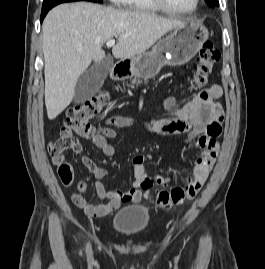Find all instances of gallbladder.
I'll use <instances>...</instances> for the list:
<instances>
[{
	"label": "gallbladder",
	"instance_id": "gallbladder-1",
	"mask_svg": "<svg viewBox=\"0 0 265 269\" xmlns=\"http://www.w3.org/2000/svg\"><path fill=\"white\" fill-rule=\"evenodd\" d=\"M111 67V63L104 61L96 67L85 71L77 81L73 98L74 103H83L96 95L104 84Z\"/></svg>",
	"mask_w": 265,
	"mask_h": 269
}]
</instances>
